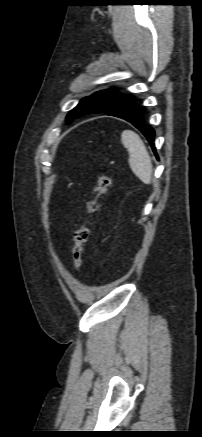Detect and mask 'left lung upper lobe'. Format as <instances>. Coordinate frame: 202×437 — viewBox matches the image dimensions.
I'll use <instances>...</instances> for the list:
<instances>
[{
    "label": "left lung upper lobe",
    "mask_w": 202,
    "mask_h": 437,
    "mask_svg": "<svg viewBox=\"0 0 202 437\" xmlns=\"http://www.w3.org/2000/svg\"><path fill=\"white\" fill-rule=\"evenodd\" d=\"M129 102H131L130 99L115 90L98 91L83 98L79 104L68 113L66 122L69 124L73 119L86 114L107 113Z\"/></svg>",
    "instance_id": "obj_1"
}]
</instances>
